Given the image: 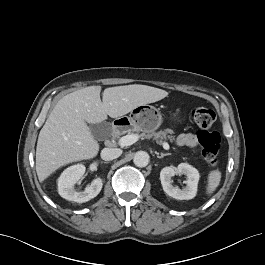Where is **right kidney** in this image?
Listing matches in <instances>:
<instances>
[{"label":"right kidney","instance_id":"1","mask_svg":"<svg viewBox=\"0 0 265 265\" xmlns=\"http://www.w3.org/2000/svg\"><path fill=\"white\" fill-rule=\"evenodd\" d=\"M85 170L84 165L77 164L63 171L58 179V193L62 198L77 203H84L100 193L103 182L99 177L94 179L83 191L75 190L74 186L83 177Z\"/></svg>","mask_w":265,"mask_h":265}]
</instances>
